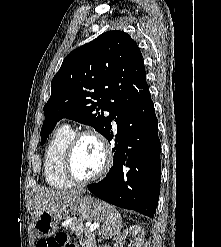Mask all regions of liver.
Here are the masks:
<instances>
[{
    "mask_svg": "<svg viewBox=\"0 0 221 247\" xmlns=\"http://www.w3.org/2000/svg\"><path fill=\"white\" fill-rule=\"evenodd\" d=\"M82 190H70V191H54V190H41L34 199L35 205V218L36 220L42 211L53 209L65 205L78 196H80Z\"/></svg>",
    "mask_w": 221,
    "mask_h": 247,
    "instance_id": "1",
    "label": "liver"
}]
</instances>
